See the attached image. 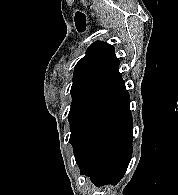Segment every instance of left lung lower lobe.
I'll list each match as a JSON object with an SVG mask.
<instances>
[{"label": "left lung lower lobe", "mask_w": 178, "mask_h": 195, "mask_svg": "<svg viewBox=\"0 0 178 195\" xmlns=\"http://www.w3.org/2000/svg\"><path fill=\"white\" fill-rule=\"evenodd\" d=\"M132 128L125 89L70 140L80 173L98 186L117 184L131 159Z\"/></svg>", "instance_id": "obj_1"}]
</instances>
